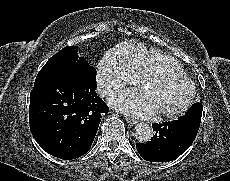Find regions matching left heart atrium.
Masks as SVG:
<instances>
[{"mask_svg":"<svg viewBox=\"0 0 230 181\" xmlns=\"http://www.w3.org/2000/svg\"><path fill=\"white\" fill-rule=\"evenodd\" d=\"M143 90H127L113 97L111 104L118 110L136 117L151 116L155 114L156 109L143 96Z\"/></svg>","mask_w":230,"mask_h":181,"instance_id":"39dd6f15","label":"left heart atrium"}]
</instances>
